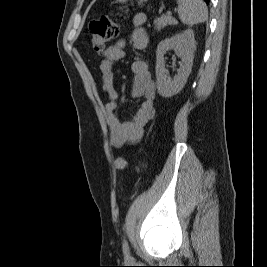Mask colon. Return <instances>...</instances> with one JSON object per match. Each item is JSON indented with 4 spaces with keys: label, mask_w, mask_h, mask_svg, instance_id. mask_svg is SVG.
Returning a JSON list of instances; mask_svg holds the SVG:
<instances>
[{
    "label": "colon",
    "mask_w": 267,
    "mask_h": 267,
    "mask_svg": "<svg viewBox=\"0 0 267 267\" xmlns=\"http://www.w3.org/2000/svg\"><path fill=\"white\" fill-rule=\"evenodd\" d=\"M119 27V23L115 19L106 15L92 20L89 28L93 49L97 53L104 54L108 49L109 43L118 34ZM115 166L118 170H124L128 167V163L123 158H117Z\"/></svg>",
    "instance_id": "5ec220e1"
}]
</instances>
